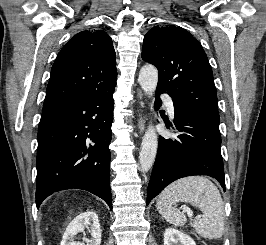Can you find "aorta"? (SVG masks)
I'll return each instance as SVG.
<instances>
[{
    "mask_svg": "<svg viewBox=\"0 0 266 245\" xmlns=\"http://www.w3.org/2000/svg\"><path fill=\"white\" fill-rule=\"evenodd\" d=\"M138 82L145 94L152 96L156 90L158 82V70L154 64H144L140 68ZM158 147V137L154 127H148L141 143L139 161L141 171H150L156 157Z\"/></svg>",
    "mask_w": 266,
    "mask_h": 245,
    "instance_id": "obj_1",
    "label": "aorta"
}]
</instances>
